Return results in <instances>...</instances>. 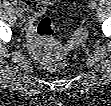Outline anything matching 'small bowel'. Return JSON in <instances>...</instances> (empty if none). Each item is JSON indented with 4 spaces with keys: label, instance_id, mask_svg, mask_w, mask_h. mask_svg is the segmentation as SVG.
Returning a JSON list of instances; mask_svg holds the SVG:
<instances>
[{
    "label": "small bowel",
    "instance_id": "small-bowel-1",
    "mask_svg": "<svg viewBox=\"0 0 111 106\" xmlns=\"http://www.w3.org/2000/svg\"><path fill=\"white\" fill-rule=\"evenodd\" d=\"M53 1L50 0H27L24 2L25 8L29 13V25L27 28V33L30 37L34 36V27L33 22L37 16L42 14L50 5H52Z\"/></svg>",
    "mask_w": 111,
    "mask_h": 106
}]
</instances>
